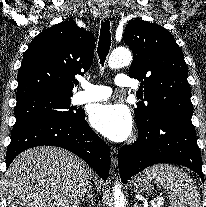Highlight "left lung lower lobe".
Segmentation results:
<instances>
[{
    "label": "left lung lower lobe",
    "mask_w": 206,
    "mask_h": 207,
    "mask_svg": "<svg viewBox=\"0 0 206 207\" xmlns=\"http://www.w3.org/2000/svg\"><path fill=\"white\" fill-rule=\"evenodd\" d=\"M192 114L157 112L155 119L146 127L139 128V138L132 145L123 146L118 153L121 180L158 163H174L195 171L204 182L202 158Z\"/></svg>",
    "instance_id": "obj_1"
}]
</instances>
